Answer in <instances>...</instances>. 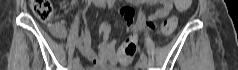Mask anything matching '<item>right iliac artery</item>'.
I'll use <instances>...</instances> for the list:
<instances>
[{
	"label": "right iliac artery",
	"instance_id": "right-iliac-artery-1",
	"mask_svg": "<svg viewBox=\"0 0 238 70\" xmlns=\"http://www.w3.org/2000/svg\"><path fill=\"white\" fill-rule=\"evenodd\" d=\"M114 4L113 0H108V7L111 8ZM80 59L78 57L73 59V63H79Z\"/></svg>",
	"mask_w": 238,
	"mask_h": 70
}]
</instances>
